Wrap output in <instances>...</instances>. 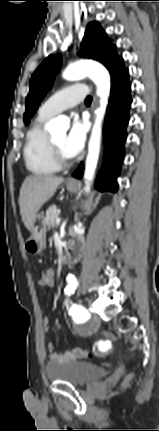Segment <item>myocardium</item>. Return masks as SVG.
<instances>
[{"label":"myocardium","mask_w":159,"mask_h":431,"mask_svg":"<svg viewBox=\"0 0 159 431\" xmlns=\"http://www.w3.org/2000/svg\"><path fill=\"white\" fill-rule=\"evenodd\" d=\"M50 147L52 152V157L55 163L59 167H66L72 163L71 157H67L62 150L55 144L52 138H50Z\"/></svg>","instance_id":"obj_1"}]
</instances>
